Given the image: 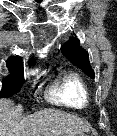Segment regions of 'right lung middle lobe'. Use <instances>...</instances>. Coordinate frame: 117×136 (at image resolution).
<instances>
[{
	"label": "right lung middle lobe",
	"instance_id": "right-lung-middle-lobe-1",
	"mask_svg": "<svg viewBox=\"0 0 117 136\" xmlns=\"http://www.w3.org/2000/svg\"><path fill=\"white\" fill-rule=\"evenodd\" d=\"M11 75L3 79L0 98H8L18 93L24 83L23 69H9Z\"/></svg>",
	"mask_w": 117,
	"mask_h": 136
}]
</instances>
